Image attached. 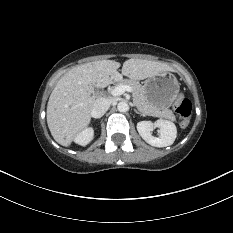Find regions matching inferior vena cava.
Masks as SVG:
<instances>
[{
    "instance_id": "obj_1",
    "label": "inferior vena cava",
    "mask_w": 233,
    "mask_h": 233,
    "mask_svg": "<svg viewBox=\"0 0 233 233\" xmlns=\"http://www.w3.org/2000/svg\"><path fill=\"white\" fill-rule=\"evenodd\" d=\"M111 105L110 100L106 98H98L95 100L91 114L94 118L102 117Z\"/></svg>"
}]
</instances>
